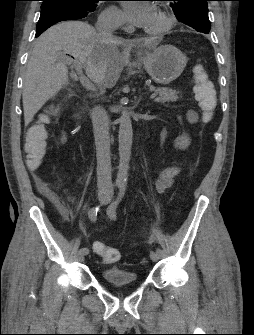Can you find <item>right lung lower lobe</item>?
Listing matches in <instances>:
<instances>
[{
    "label": "right lung lower lobe",
    "instance_id": "1",
    "mask_svg": "<svg viewBox=\"0 0 254 335\" xmlns=\"http://www.w3.org/2000/svg\"><path fill=\"white\" fill-rule=\"evenodd\" d=\"M88 14L76 11L65 6H50L41 10V15L36 26V35L38 37L50 26L60 21L81 19Z\"/></svg>",
    "mask_w": 254,
    "mask_h": 335
}]
</instances>
